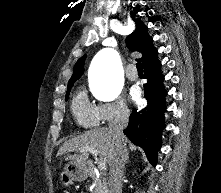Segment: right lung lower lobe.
<instances>
[{"label":"right lung lower lobe","instance_id":"right-lung-lower-lobe-1","mask_svg":"<svg viewBox=\"0 0 221 193\" xmlns=\"http://www.w3.org/2000/svg\"><path fill=\"white\" fill-rule=\"evenodd\" d=\"M161 63L144 69L145 98L148 105L142 109H134L129 117V124L124 134L135 145L144 149L151 164H157V152L161 145V130L164 127L165 97L163 87L164 76L160 73Z\"/></svg>","mask_w":221,"mask_h":193}]
</instances>
